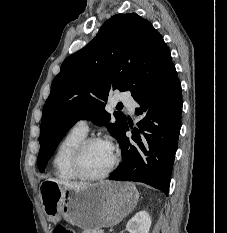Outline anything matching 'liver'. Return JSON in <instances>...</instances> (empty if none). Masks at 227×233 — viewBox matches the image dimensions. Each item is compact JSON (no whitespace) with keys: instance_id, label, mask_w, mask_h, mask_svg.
<instances>
[{"instance_id":"6515ba94","label":"liver","mask_w":227,"mask_h":233,"mask_svg":"<svg viewBox=\"0 0 227 233\" xmlns=\"http://www.w3.org/2000/svg\"><path fill=\"white\" fill-rule=\"evenodd\" d=\"M48 180L53 181V182L57 183L58 185L65 186V187L70 188V189H81V188H84V187L90 185L88 183L69 182L66 180L56 179V178H49Z\"/></svg>"}]
</instances>
